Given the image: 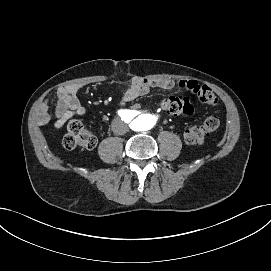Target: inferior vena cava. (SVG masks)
<instances>
[{"label":"inferior vena cava","mask_w":271,"mask_h":271,"mask_svg":"<svg viewBox=\"0 0 271 271\" xmlns=\"http://www.w3.org/2000/svg\"><path fill=\"white\" fill-rule=\"evenodd\" d=\"M112 131L116 135H123L128 131V127L123 121H115L112 124Z\"/></svg>","instance_id":"inferior-vena-cava-1"}]
</instances>
